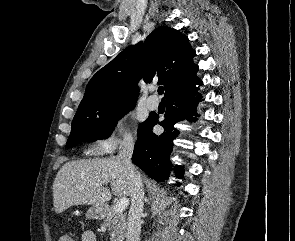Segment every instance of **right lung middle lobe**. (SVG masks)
Wrapping results in <instances>:
<instances>
[{
	"label": "right lung middle lobe",
	"instance_id": "1",
	"mask_svg": "<svg viewBox=\"0 0 295 241\" xmlns=\"http://www.w3.org/2000/svg\"><path fill=\"white\" fill-rule=\"evenodd\" d=\"M134 105L135 101L116 100L78 107L66 146L71 148L83 140L93 142L109 137L117 121Z\"/></svg>",
	"mask_w": 295,
	"mask_h": 241
}]
</instances>
